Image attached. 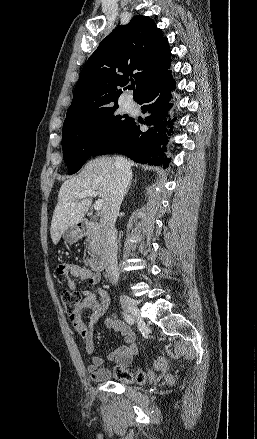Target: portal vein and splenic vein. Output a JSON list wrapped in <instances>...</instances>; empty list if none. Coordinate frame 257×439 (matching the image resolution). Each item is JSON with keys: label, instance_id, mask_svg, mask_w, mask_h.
<instances>
[{"label": "portal vein and splenic vein", "instance_id": "1", "mask_svg": "<svg viewBox=\"0 0 257 439\" xmlns=\"http://www.w3.org/2000/svg\"><path fill=\"white\" fill-rule=\"evenodd\" d=\"M95 196H97V192L95 190H87V191H83V192L79 193L78 199H82L85 197H95ZM103 203H104V201L102 199L97 200L94 204V209L96 211L101 210L103 207Z\"/></svg>", "mask_w": 257, "mask_h": 439}]
</instances>
